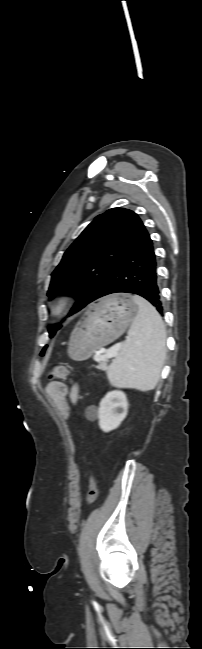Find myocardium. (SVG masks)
I'll return each instance as SVG.
<instances>
[{
	"mask_svg": "<svg viewBox=\"0 0 202 649\" xmlns=\"http://www.w3.org/2000/svg\"><path fill=\"white\" fill-rule=\"evenodd\" d=\"M69 302L70 298L68 295L59 297L52 307L53 313L55 315H61L67 309Z\"/></svg>",
	"mask_w": 202,
	"mask_h": 649,
	"instance_id": "1",
	"label": "myocardium"
}]
</instances>
